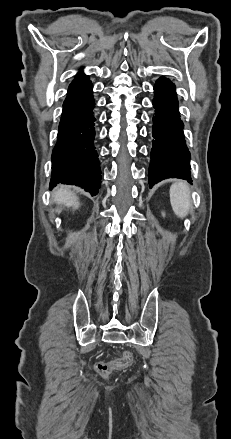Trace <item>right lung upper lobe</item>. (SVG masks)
<instances>
[{
	"label": "right lung upper lobe",
	"mask_w": 231,
	"mask_h": 439,
	"mask_svg": "<svg viewBox=\"0 0 231 439\" xmlns=\"http://www.w3.org/2000/svg\"><path fill=\"white\" fill-rule=\"evenodd\" d=\"M88 76L84 75L82 72H80L79 74H77L76 78L74 79V81L70 84L73 85L75 83H78L84 79H86Z\"/></svg>",
	"instance_id": "cb5924a9"
}]
</instances>
